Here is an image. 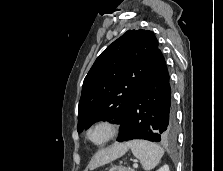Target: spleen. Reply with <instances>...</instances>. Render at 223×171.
<instances>
[{
	"label": "spleen",
	"instance_id": "obj_1",
	"mask_svg": "<svg viewBox=\"0 0 223 171\" xmlns=\"http://www.w3.org/2000/svg\"><path fill=\"white\" fill-rule=\"evenodd\" d=\"M128 143L133 155L140 160L146 171L155 168L164 155V149L153 142L146 140H132Z\"/></svg>",
	"mask_w": 223,
	"mask_h": 171
}]
</instances>
